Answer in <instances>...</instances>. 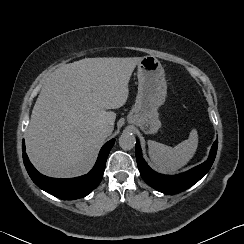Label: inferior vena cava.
Segmentation results:
<instances>
[{
  "instance_id": "602c4592",
  "label": "inferior vena cava",
  "mask_w": 244,
  "mask_h": 244,
  "mask_svg": "<svg viewBox=\"0 0 244 244\" xmlns=\"http://www.w3.org/2000/svg\"><path fill=\"white\" fill-rule=\"evenodd\" d=\"M99 131L102 135L107 137V136L111 135V133L113 131V127L108 124H103L100 126Z\"/></svg>"
}]
</instances>
